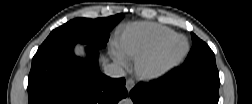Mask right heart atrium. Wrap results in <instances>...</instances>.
<instances>
[{
    "label": "right heart atrium",
    "instance_id": "1",
    "mask_svg": "<svg viewBox=\"0 0 252 104\" xmlns=\"http://www.w3.org/2000/svg\"><path fill=\"white\" fill-rule=\"evenodd\" d=\"M111 54L114 59V61L120 65L121 67H127L128 61L125 59L120 52L117 50L116 46L111 47Z\"/></svg>",
    "mask_w": 252,
    "mask_h": 104
}]
</instances>
